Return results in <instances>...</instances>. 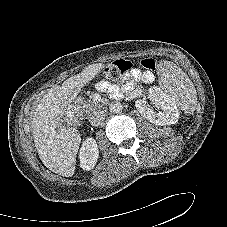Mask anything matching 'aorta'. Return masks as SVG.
I'll return each instance as SVG.
<instances>
[{"mask_svg":"<svg viewBox=\"0 0 227 227\" xmlns=\"http://www.w3.org/2000/svg\"><path fill=\"white\" fill-rule=\"evenodd\" d=\"M123 107L122 104L118 101H114L110 104V112L112 113H120L122 111Z\"/></svg>","mask_w":227,"mask_h":227,"instance_id":"762f6f07","label":"aorta"}]
</instances>
